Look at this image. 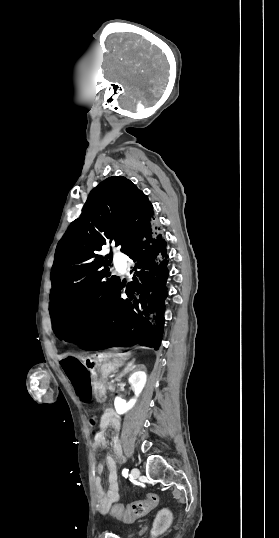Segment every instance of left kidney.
<instances>
[{
	"label": "left kidney",
	"mask_w": 279,
	"mask_h": 538,
	"mask_svg": "<svg viewBox=\"0 0 279 538\" xmlns=\"http://www.w3.org/2000/svg\"><path fill=\"white\" fill-rule=\"evenodd\" d=\"M147 376L145 372H142V370H135L133 374H131L128 382L131 384V388L135 394V398H132L130 402H125V400H122V398H115L114 400V406L117 414H125V412H128V410H131L133 406H135L139 394H141L143 388H145Z\"/></svg>",
	"instance_id": "obj_1"
}]
</instances>
